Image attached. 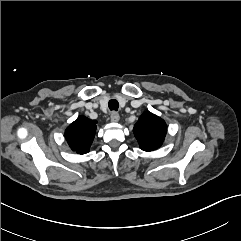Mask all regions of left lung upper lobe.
Masks as SVG:
<instances>
[{
  "label": "left lung upper lobe",
  "mask_w": 241,
  "mask_h": 241,
  "mask_svg": "<svg viewBox=\"0 0 241 241\" xmlns=\"http://www.w3.org/2000/svg\"><path fill=\"white\" fill-rule=\"evenodd\" d=\"M133 132L142 150L153 151L163 144L167 127L160 117L145 112L135 124Z\"/></svg>",
  "instance_id": "left-lung-upper-lobe-1"
}]
</instances>
